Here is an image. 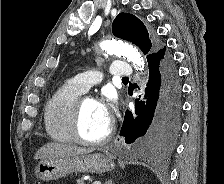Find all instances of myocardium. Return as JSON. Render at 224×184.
<instances>
[{"label": "myocardium", "mask_w": 224, "mask_h": 184, "mask_svg": "<svg viewBox=\"0 0 224 184\" xmlns=\"http://www.w3.org/2000/svg\"><path fill=\"white\" fill-rule=\"evenodd\" d=\"M94 100L93 98L89 96H81L78 98L71 118V134L73 137V140L76 143L87 145V146H100L105 143H107L113 136L115 126L113 122H110L109 129L107 133L100 139L97 140H90L86 139L81 134V118H82V111H83V105L86 100ZM95 101V100H94Z\"/></svg>", "instance_id": "f54148a6"}]
</instances>
